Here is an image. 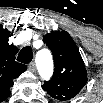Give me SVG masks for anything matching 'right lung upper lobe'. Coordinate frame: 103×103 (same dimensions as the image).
Here are the masks:
<instances>
[{
    "label": "right lung upper lobe",
    "mask_w": 103,
    "mask_h": 103,
    "mask_svg": "<svg viewBox=\"0 0 103 103\" xmlns=\"http://www.w3.org/2000/svg\"><path fill=\"white\" fill-rule=\"evenodd\" d=\"M9 36L10 31L0 26V93L5 97L10 94L13 79L27 69L26 65L15 61L18 49L9 45Z\"/></svg>",
    "instance_id": "right-lung-upper-lobe-1"
}]
</instances>
